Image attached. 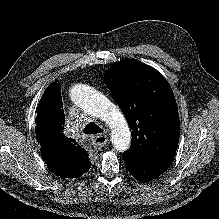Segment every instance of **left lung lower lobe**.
I'll return each mask as SVG.
<instances>
[{
    "instance_id": "obj_1",
    "label": "left lung lower lobe",
    "mask_w": 219,
    "mask_h": 219,
    "mask_svg": "<svg viewBox=\"0 0 219 219\" xmlns=\"http://www.w3.org/2000/svg\"><path fill=\"white\" fill-rule=\"evenodd\" d=\"M125 165L129 172L140 182L146 183L165 172L171 162H157L151 160H135L123 156Z\"/></svg>"
}]
</instances>
